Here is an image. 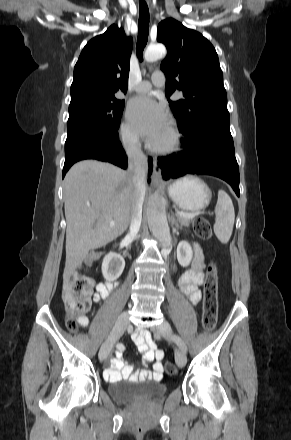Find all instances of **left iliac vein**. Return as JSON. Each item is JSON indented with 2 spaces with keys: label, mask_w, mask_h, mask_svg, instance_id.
<instances>
[{
  "label": "left iliac vein",
  "mask_w": 291,
  "mask_h": 440,
  "mask_svg": "<svg viewBox=\"0 0 291 440\" xmlns=\"http://www.w3.org/2000/svg\"><path fill=\"white\" fill-rule=\"evenodd\" d=\"M156 332L158 334H160L162 337L171 340V335H172V329L170 324L167 321H163L156 329ZM175 359H176V364L180 367L183 368L186 365L187 362V357L186 354L183 350L181 349H176L175 351Z\"/></svg>",
  "instance_id": "4c4485c4"
}]
</instances>
